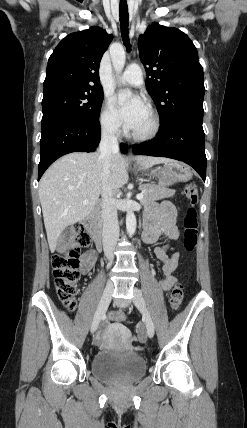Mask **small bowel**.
<instances>
[{"instance_id": "c3829d8e", "label": "small bowel", "mask_w": 247, "mask_h": 428, "mask_svg": "<svg viewBox=\"0 0 247 428\" xmlns=\"http://www.w3.org/2000/svg\"><path fill=\"white\" fill-rule=\"evenodd\" d=\"M166 236L171 240H177L179 230L176 226V210L169 201H163L153 205L145 217V230L143 238L147 243H154L160 236ZM157 258L162 262L163 279L160 282V288L168 291L175 284L176 278L174 271L178 267L179 253L174 252L170 257L167 255V247H157L155 249ZM96 261L94 252H86L81 259V271L87 274L91 271ZM122 312V311H121ZM104 340V334L98 333L95 338L96 344H101Z\"/></svg>"}]
</instances>
